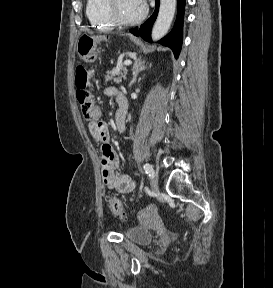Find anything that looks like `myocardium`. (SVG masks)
I'll return each instance as SVG.
<instances>
[{
    "instance_id": "myocardium-1",
    "label": "myocardium",
    "mask_w": 273,
    "mask_h": 288,
    "mask_svg": "<svg viewBox=\"0 0 273 288\" xmlns=\"http://www.w3.org/2000/svg\"><path fill=\"white\" fill-rule=\"evenodd\" d=\"M104 10L106 17L115 25L133 26L141 23L147 16L148 10L144 6L143 12L134 19H123L117 12V0H104Z\"/></svg>"
}]
</instances>
